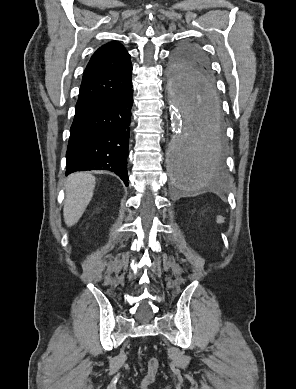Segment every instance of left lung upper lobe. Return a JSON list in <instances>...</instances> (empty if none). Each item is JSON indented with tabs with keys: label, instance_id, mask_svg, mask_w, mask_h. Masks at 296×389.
Instances as JSON below:
<instances>
[{
	"label": "left lung upper lobe",
	"instance_id": "obj_1",
	"mask_svg": "<svg viewBox=\"0 0 296 389\" xmlns=\"http://www.w3.org/2000/svg\"><path fill=\"white\" fill-rule=\"evenodd\" d=\"M169 70L178 87L191 83L196 80L197 76H203L210 81H214L207 58L194 45L177 49L173 54ZM195 98L197 100L201 99L198 96ZM190 100H192V97Z\"/></svg>",
	"mask_w": 296,
	"mask_h": 389
}]
</instances>
